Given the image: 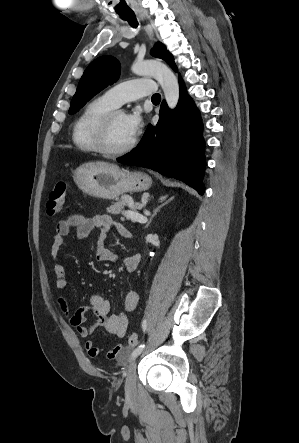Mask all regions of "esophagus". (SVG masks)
Wrapping results in <instances>:
<instances>
[{
	"mask_svg": "<svg viewBox=\"0 0 299 443\" xmlns=\"http://www.w3.org/2000/svg\"><path fill=\"white\" fill-rule=\"evenodd\" d=\"M137 15H138L140 20L145 21L146 17H145V14L143 12L139 11V12H137ZM145 30H146V32H147V34L149 36V39L153 42L154 41V33H153V30H152V27L149 24H147L145 26Z\"/></svg>",
	"mask_w": 299,
	"mask_h": 443,
	"instance_id": "34e87169",
	"label": "esophagus"
}]
</instances>
